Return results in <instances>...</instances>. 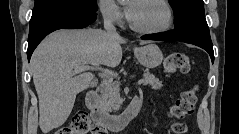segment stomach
Instances as JSON below:
<instances>
[{"label": "stomach", "instance_id": "0dacf381", "mask_svg": "<svg viewBox=\"0 0 239 134\" xmlns=\"http://www.w3.org/2000/svg\"><path fill=\"white\" fill-rule=\"evenodd\" d=\"M134 55L142 66L149 69L158 67L163 60L162 51L153 43L134 48Z\"/></svg>", "mask_w": 239, "mask_h": 134}]
</instances>
